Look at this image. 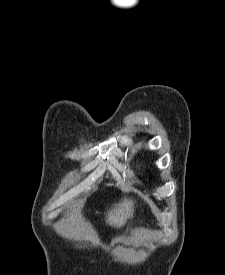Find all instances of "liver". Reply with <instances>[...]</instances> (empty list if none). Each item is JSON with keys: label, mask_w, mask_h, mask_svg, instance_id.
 Listing matches in <instances>:
<instances>
[{"label": "liver", "mask_w": 225, "mask_h": 275, "mask_svg": "<svg viewBox=\"0 0 225 275\" xmlns=\"http://www.w3.org/2000/svg\"><path fill=\"white\" fill-rule=\"evenodd\" d=\"M134 204L131 200L124 199L122 202L115 204L108 212L107 223L115 227L123 226L127 219L132 216Z\"/></svg>", "instance_id": "obj_1"}]
</instances>
